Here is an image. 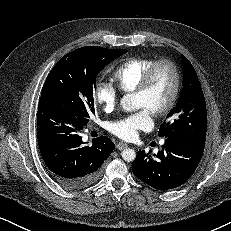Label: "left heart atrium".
Returning a JSON list of instances; mask_svg holds the SVG:
<instances>
[{"label":"left heart atrium","instance_id":"obj_1","mask_svg":"<svg viewBox=\"0 0 231 231\" xmlns=\"http://www.w3.org/2000/svg\"><path fill=\"white\" fill-rule=\"evenodd\" d=\"M151 126V111L147 108H142L136 113L112 122L109 130L121 139L132 140L137 137L139 131L147 130Z\"/></svg>","mask_w":231,"mask_h":231}]
</instances>
